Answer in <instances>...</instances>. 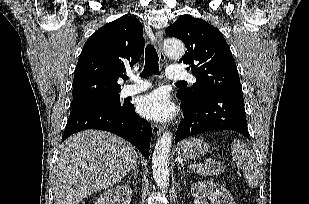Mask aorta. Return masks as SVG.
Wrapping results in <instances>:
<instances>
[{
  "label": "aorta",
  "mask_w": 309,
  "mask_h": 204,
  "mask_svg": "<svg viewBox=\"0 0 309 204\" xmlns=\"http://www.w3.org/2000/svg\"><path fill=\"white\" fill-rule=\"evenodd\" d=\"M166 54L175 59L181 58L185 53L184 44L175 39L167 40L164 44ZM172 147V133L165 132L157 141L153 156L152 169L157 186L165 190L169 186V156Z\"/></svg>",
  "instance_id": "1"
}]
</instances>
